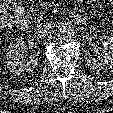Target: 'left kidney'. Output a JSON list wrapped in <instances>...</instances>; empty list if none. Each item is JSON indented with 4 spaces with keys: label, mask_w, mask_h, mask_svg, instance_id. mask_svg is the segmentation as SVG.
<instances>
[{
    "label": "left kidney",
    "mask_w": 113,
    "mask_h": 113,
    "mask_svg": "<svg viewBox=\"0 0 113 113\" xmlns=\"http://www.w3.org/2000/svg\"><path fill=\"white\" fill-rule=\"evenodd\" d=\"M102 44L105 48V52L101 56V59H96L90 53L85 54V60L88 66L97 70H105L113 68V37L103 36Z\"/></svg>",
    "instance_id": "1"
}]
</instances>
